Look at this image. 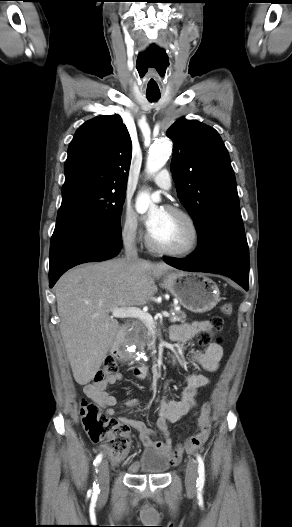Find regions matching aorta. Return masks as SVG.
I'll return each instance as SVG.
<instances>
[{
  "label": "aorta",
  "mask_w": 292,
  "mask_h": 527,
  "mask_svg": "<svg viewBox=\"0 0 292 527\" xmlns=\"http://www.w3.org/2000/svg\"><path fill=\"white\" fill-rule=\"evenodd\" d=\"M170 154L171 144L168 140L163 139L154 143L149 149L146 172L149 175L157 173L167 162ZM157 201H159L158 195L150 196L147 192H142L137 196L136 210L140 214L145 213Z\"/></svg>",
  "instance_id": "1"
}]
</instances>
